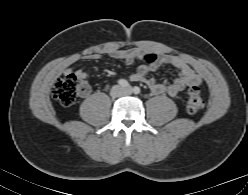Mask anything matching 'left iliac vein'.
Instances as JSON below:
<instances>
[{
	"mask_svg": "<svg viewBox=\"0 0 248 195\" xmlns=\"http://www.w3.org/2000/svg\"><path fill=\"white\" fill-rule=\"evenodd\" d=\"M124 92H125V94H130L131 89L130 88H127V89L124 90Z\"/></svg>",
	"mask_w": 248,
	"mask_h": 195,
	"instance_id": "obj_1",
	"label": "left iliac vein"
}]
</instances>
